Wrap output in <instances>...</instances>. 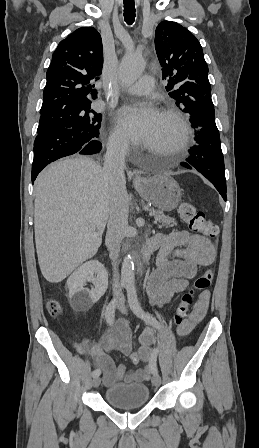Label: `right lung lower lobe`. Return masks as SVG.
Listing matches in <instances>:
<instances>
[{
	"instance_id": "right-lung-lower-lobe-1",
	"label": "right lung lower lobe",
	"mask_w": 259,
	"mask_h": 448,
	"mask_svg": "<svg viewBox=\"0 0 259 448\" xmlns=\"http://www.w3.org/2000/svg\"><path fill=\"white\" fill-rule=\"evenodd\" d=\"M101 149L100 141L72 128H56L38 134L34 142L32 183L44 167L59 158L75 153L97 154Z\"/></svg>"
}]
</instances>
